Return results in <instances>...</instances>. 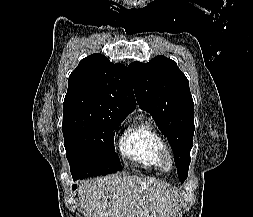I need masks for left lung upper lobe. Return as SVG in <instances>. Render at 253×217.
<instances>
[{
    "label": "left lung upper lobe",
    "instance_id": "1",
    "mask_svg": "<svg viewBox=\"0 0 253 217\" xmlns=\"http://www.w3.org/2000/svg\"><path fill=\"white\" fill-rule=\"evenodd\" d=\"M128 71L139 106L152 115L171 144L178 177L183 183L188 176L195 130L188 79L175 61L162 55L145 64L133 62Z\"/></svg>",
    "mask_w": 253,
    "mask_h": 217
}]
</instances>
